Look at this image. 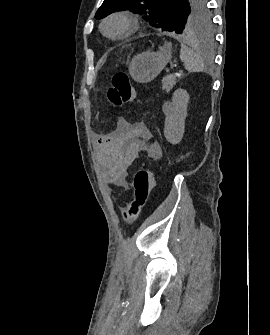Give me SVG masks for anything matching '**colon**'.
Instances as JSON below:
<instances>
[{"mask_svg": "<svg viewBox=\"0 0 270 335\" xmlns=\"http://www.w3.org/2000/svg\"><path fill=\"white\" fill-rule=\"evenodd\" d=\"M111 85V97L116 104L130 103L134 99V88L126 72H116L111 79ZM154 185L155 177L150 169L139 168L136 170L134 174L133 199L124 212L127 220H134L141 215L143 208L149 201Z\"/></svg>", "mask_w": 270, "mask_h": 335, "instance_id": "colon-1", "label": "colon"}]
</instances>
